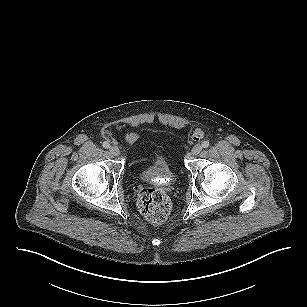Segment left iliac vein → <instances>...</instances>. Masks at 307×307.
I'll list each match as a JSON object with an SVG mask.
<instances>
[{
    "instance_id": "obj_1",
    "label": "left iliac vein",
    "mask_w": 307,
    "mask_h": 307,
    "mask_svg": "<svg viewBox=\"0 0 307 307\" xmlns=\"http://www.w3.org/2000/svg\"><path fill=\"white\" fill-rule=\"evenodd\" d=\"M201 151H202V146L200 144H196L195 146H193L191 153L193 155H198Z\"/></svg>"
}]
</instances>
